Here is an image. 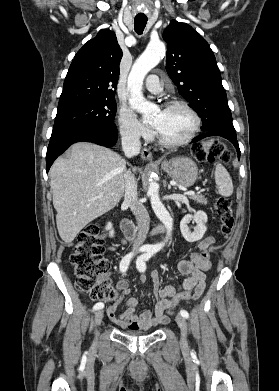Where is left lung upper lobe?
Here are the masks:
<instances>
[{
	"mask_svg": "<svg viewBox=\"0 0 279 391\" xmlns=\"http://www.w3.org/2000/svg\"><path fill=\"white\" fill-rule=\"evenodd\" d=\"M166 70L178 91L202 119V130L236 133L215 56L206 40L186 23L164 30Z\"/></svg>",
	"mask_w": 279,
	"mask_h": 391,
	"instance_id": "obj_1",
	"label": "left lung upper lobe"
}]
</instances>
